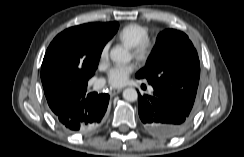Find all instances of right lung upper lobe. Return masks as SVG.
Wrapping results in <instances>:
<instances>
[{
	"mask_svg": "<svg viewBox=\"0 0 244 157\" xmlns=\"http://www.w3.org/2000/svg\"><path fill=\"white\" fill-rule=\"evenodd\" d=\"M118 27L117 22L88 23L72 27L79 32L80 37L71 46H63L61 42L72 28L58 34L48 47L41 67L45 96L54 95L66 89L86 88L88 79L96 70L95 57H100L103 47L113 37ZM56 46H59L58 56L65 64V71H61L59 77L51 78L46 76V70L49 69V54Z\"/></svg>",
	"mask_w": 244,
	"mask_h": 157,
	"instance_id": "1",
	"label": "right lung upper lobe"
}]
</instances>
